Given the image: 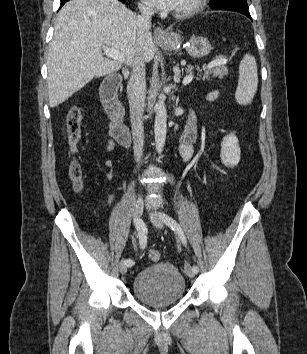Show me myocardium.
I'll return each instance as SVG.
<instances>
[{"instance_id": "myocardium-1", "label": "myocardium", "mask_w": 307, "mask_h": 354, "mask_svg": "<svg viewBox=\"0 0 307 354\" xmlns=\"http://www.w3.org/2000/svg\"><path fill=\"white\" fill-rule=\"evenodd\" d=\"M206 0H190L188 5L176 12L178 17H187L202 8Z\"/></svg>"}]
</instances>
